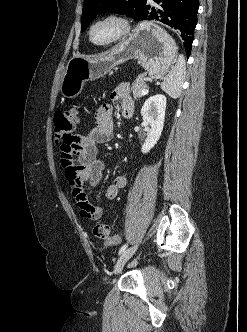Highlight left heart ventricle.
<instances>
[{
  "instance_id": "1",
  "label": "left heart ventricle",
  "mask_w": 247,
  "mask_h": 332,
  "mask_svg": "<svg viewBox=\"0 0 247 332\" xmlns=\"http://www.w3.org/2000/svg\"><path fill=\"white\" fill-rule=\"evenodd\" d=\"M119 30V25L113 21L102 22L95 26L92 37L96 42H106L113 39Z\"/></svg>"
}]
</instances>
